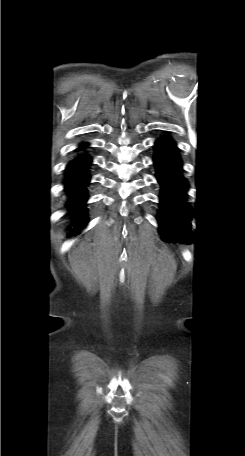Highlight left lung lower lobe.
I'll list each match as a JSON object with an SVG mask.
<instances>
[{"mask_svg": "<svg viewBox=\"0 0 245 456\" xmlns=\"http://www.w3.org/2000/svg\"><path fill=\"white\" fill-rule=\"evenodd\" d=\"M154 147L157 180L162 188L158 214L160 234L164 240L188 242L191 209L183 201L188 185L181 174L178 148L167 136L158 139Z\"/></svg>", "mask_w": 245, "mask_h": 456, "instance_id": "0a47b994", "label": "left lung lower lobe"}]
</instances>
